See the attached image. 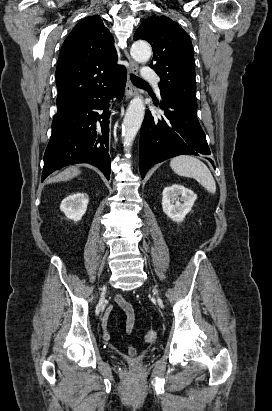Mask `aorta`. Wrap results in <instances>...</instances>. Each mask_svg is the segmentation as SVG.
Listing matches in <instances>:
<instances>
[{
    "label": "aorta",
    "mask_w": 272,
    "mask_h": 411,
    "mask_svg": "<svg viewBox=\"0 0 272 411\" xmlns=\"http://www.w3.org/2000/svg\"><path fill=\"white\" fill-rule=\"evenodd\" d=\"M131 56L137 62H147L151 56V48L148 43L137 41L131 47ZM145 105L142 97H135L126 111L123 120L122 134L124 137V147L129 152L132 143L141 127L144 119Z\"/></svg>",
    "instance_id": "1"
}]
</instances>
